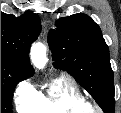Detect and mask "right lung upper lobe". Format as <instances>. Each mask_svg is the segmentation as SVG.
<instances>
[{"label": "right lung upper lobe", "instance_id": "right-lung-upper-lobe-1", "mask_svg": "<svg viewBox=\"0 0 121 113\" xmlns=\"http://www.w3.org/2000/svg\"><path fill=\"white\" fill-rule=\"evenodd\" d=\"M41 31L37 14L26 11L20 17L1 12V60L21 68L33 75L29 62V49Z\"/></svg>", "mask_w": 121, "mask_h": 113}]
</instances>
